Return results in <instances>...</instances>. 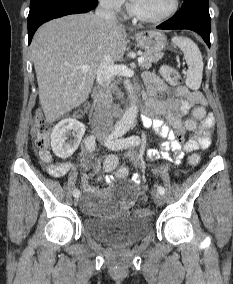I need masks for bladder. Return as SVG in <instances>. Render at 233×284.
<instances>
[{"instance_id":"obj_1","label":"bladder","mask_w":233,"mask_h":284,"mask_svg":"<svg viewBox=\"0 0 233 284\" xmlns=\"http://www.w3.org/2000/svg\"><path fill=\"white\" fill-rule=\"evenodd\" d=\"M95 193L89 196L95 200ZM138 195L137 188L127 181L114 183L101 196L104 204L132 203ZM83 229L93 238L111 244H129L146 236L152 221L148 217L117 215L86 217L82 222Z\"/></svg>"}]
</instances>
